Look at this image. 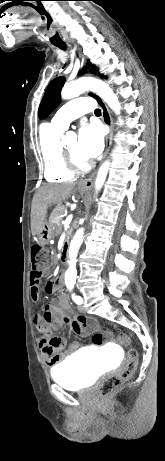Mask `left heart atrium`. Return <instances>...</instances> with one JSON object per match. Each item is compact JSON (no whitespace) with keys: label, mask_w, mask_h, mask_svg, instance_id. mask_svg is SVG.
Listing matches in <instances>:
<instances>
[{"label":"left heart atrium","mask_w":165,"mask_h":461,"mask_svg":"<svg viewBox=\"0 0 165 461\" xmlns=\"http://www.w3.org/2000/svg\"><path fill=\"white\" fill-rule=\"evenodd\" d=\"M104 146L102 129L96 125H84L79 130L78 150L85 159H92L98 156Z\"/></svg>","instance_id":"1"}]
</instances>
